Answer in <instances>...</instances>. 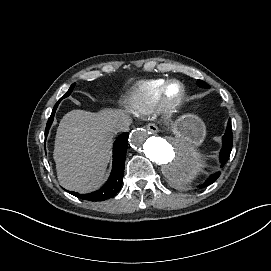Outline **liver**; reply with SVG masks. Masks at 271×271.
<instances>
[{
    "label": "liver",
    "instance_id": "obj_1",
    "mask_svg": "<svg viewBox=\"0 0 271 271\" xmlns=\"http://www.w3.org/2000/svg\"><path fill=\"white\" fill-rule=\"evenodd\" d=\"M130 119L121 109L72 110L61 119L53 157L60 184L81 193L96 189L109 162L116 125Z\"/></svg>",
    "mask_w": 271,
    "mask_h": 271
}]
</instances>
